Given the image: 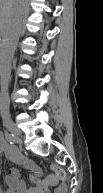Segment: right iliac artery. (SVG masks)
<instances>
[{
  "label": "right iliac artery",
  "instance_id": "right-iliac-artery-1",
  "mask_svg": "<svg viewBox=\"0 0 103 193\" xmlns=\"http://www.w3.org/2000/svg\"><path fill=\"white\" fill-rule=\"evenodd\" d=\"M5 138L11 144H14L17 141L15 135L8 132H5Z\"/></svg>",
  "mask_w": 103,
  "mask_h": 193
}]
</instances>
